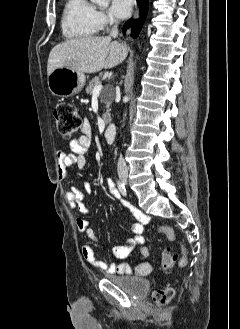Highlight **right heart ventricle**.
Returning a JSON list of instances; mask_svg holds the SVG:
<instances>
[{
	"instance_id": "e07e8e85",
	"label": "right heart ventricle",
	"mask_w": 240,
	"mask_h": 329,
	"mask_svg": "<svg viewBox=\"0 0 240 329\" xmlns=\"http://www.w3.org/2000/svg\"><path fill=\"white\" fill-rule=\"evenodd\" d=\"M61 29L64 37L69 40L95 35L99 27L94 5L89 0H67L61 18Z\"/></svg>"
}]
</instances>
